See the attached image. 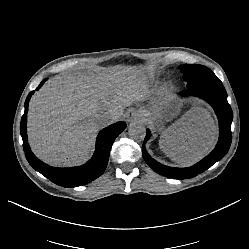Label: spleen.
<instances>
[{
  "instance_id": "3e777b00",
  "label": "spleen",
  "mask_w": 249,
  "mask_h": 249,
  "mask_svg": "<svg viewBox=\"0 0 249 249\" xmlns=\"http://www.w3.org/2000/svg\"><path fill=\"white\" fill-rule=\"evenodd\" d=\"M160 147L162 148V150L165 151V153H166L167 155H169L172 159H174V156H173V154H172V152L170 151L169 148L163 147L162 145H160Z\"/></svg>"
}]
</instances>
